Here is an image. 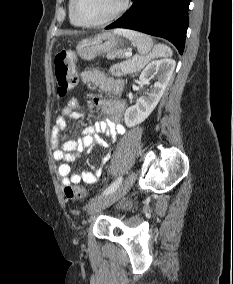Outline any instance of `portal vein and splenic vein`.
Listing matches in <instances>:
<instances>
[{"label":"portal vein and splenic vein","instance_id":"obj_1","mask_svg":"<svg viewBox=\"0 0 233 284\" xmlns=\"http://www.w3.org/2000/svg\"><path fill=\"white\" fill-rule=\"evenodd\" d=\"M125 55L130 57L132 55V52H126Z\"/></svg>","mask_w":233,"mask_h":284}]
</instances>
